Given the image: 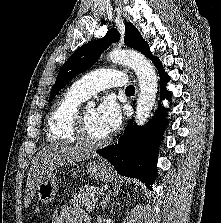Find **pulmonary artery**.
<instances>
[{
  "instance_id": "pulmonary-artery-1",
  "label": "pulmonary artery",
  "mask_w": 221,
  "mask_h": 223,
  "mask_svg": "<svg viewBox=\"0 0 221 223\" xmlns=\"http://www.w3.org/2000/svg\"><path fill=\"white\" fill-rule=\"evenodd\" d=\"M127 81V75L124 72L116 68H108L90 72L77 79L71 85V89L84 99H87L94 93L108 87L125 86Z\"/></svg>"
}]
</instances>
